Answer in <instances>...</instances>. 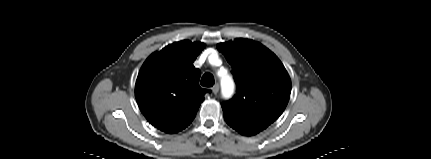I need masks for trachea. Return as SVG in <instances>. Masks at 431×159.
<instances>
[{
    "label": "trachea",
    "instance_id": "3493384b",
    "mask_svg": "<svg viewBox=\"0 0 431 159\" xmlns=\"http://www.w3.org/2000/svg\"><path fill=\"white\" fill-rule=\"evenodd\" d=\"M200 83L204 87H212L215 83L214 76L210 73H205L202 76Z\"/></svg>",
    "mask_w": 431,
    "mask_h": 159
}]
</instances>
